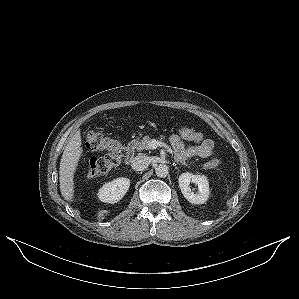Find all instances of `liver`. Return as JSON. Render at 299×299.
<instances>
[{
    "label": "liver",
    "mask_w": 299,
    "mask_h": 299,
    "mask_svg": "<svg viewBox=\"0 0 299 299\" xmlns=\"http://www.w3.org/2000/svg\"><path fill=\"white\" fill-rule=\"evenodd\" d=\"M81 145V133L78 130L65 147L60 161V191L63 198L69 202L74 198V174L83 153Z\"/></svg>",
    "instance_id": "liver-1"
}]
</instances>
